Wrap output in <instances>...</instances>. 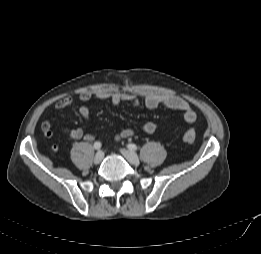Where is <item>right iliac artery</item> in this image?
Returning a JSON list of instances; mask_svg holds the SVG:
<instances>
[{
    "mask_svg": "<svg viewBox=\"0 0 261 254\" xmlns=\"http://www.w3.org/2000/svg\"><path fill=\"white\" fill-rule=\"evenodd\" d=\"M94 148H95L96 150H99V149L101 148V143H100L99 141L95 142V143H94Z\"/></svg>",
    "mask_w": 261,
    "mask_h": 254,
    "instance_id": "82829eb1",
    "label": "right iliac artery"
}]
</instances>
